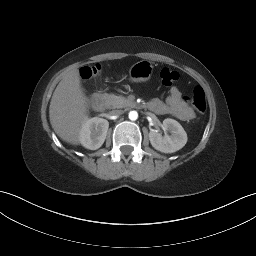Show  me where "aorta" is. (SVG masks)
<instances>
[{"label":"aorta","instance_id":"aorta-1","mask_svg":"<svg viewBox=\"0 0 256 256\" xmlns=\"http://www.w3.org/2000/svg\"><path fill=\"white\" fill-rule=\"evenodd\" d=\"M137 118H138L137 111H130L129 112V119L130 120L135 121V120H137Z\"/></svg>","mask_w":256,"mask_h":256}]
</instances>
